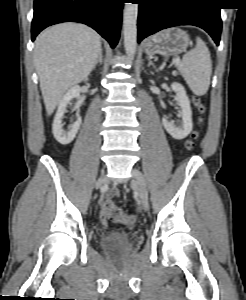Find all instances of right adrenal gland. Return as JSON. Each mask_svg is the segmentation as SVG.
<instances>
[{
	"mask_svg": "<svg viewBox=\"0 0 246 300\" xmlns=\"http://www.w3.org/2000/svg\"><path fill=\"white\" fill-rule=\"evenodd\" d=\"M102 61H103V51L101 49L100 53H99V56H98V59L97 61L95 62V65L93 67V69H95L97 67L98 64H102Z\"/></svg>",
	"mask_w": 246,
	"mask_h": 300,
	"instance_id": "obj_1",
	"label": "right adrenal gland"
}]
</instances>
